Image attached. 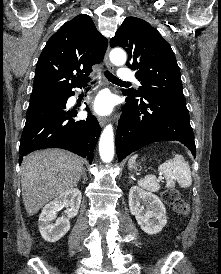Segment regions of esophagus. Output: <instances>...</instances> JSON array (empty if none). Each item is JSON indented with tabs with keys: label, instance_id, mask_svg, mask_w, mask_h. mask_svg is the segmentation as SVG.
<instances>
[{
	"label": "esophagus",
	"instance_id": "esophagus-1",
	"mask_svg": "<svg viewBox=\"0 0 221 274\" xmlns=\"http://www.w3.org/2000/svg\"><path fill=\"white\" fill-rule=\"evenodd\" d=\"M104 61L106 63V66L109 70L114 71V66L111 64L110 60H109V49H107L105 57H104ZM99 124L101 127H104L107 123V118L104 117H99L98 118Z\"/></svg>",
	"mask_w": 221,
	"mask_h": 274
}]
</instances>
